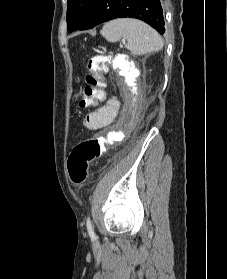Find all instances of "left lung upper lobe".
I'll return each mask as SVG.
<instances>
[{
    "instance_id": "obj_1",
    "label": "left lung upper lobe",
    "mask_w": 227,
    "mask_h": 279,
    "mask_svg": "<svg viewBox=\"0 0 227 279\" xmlns=\"http://www.w3.org/2000/svg\"><path fill=\"white\" fill-rule=\"evenodd\" d=\"M94 0H68L67 5V28L68 32L78 30Z\"/></svg>"
}]
</instances>
